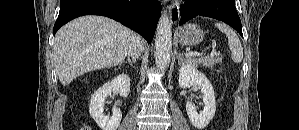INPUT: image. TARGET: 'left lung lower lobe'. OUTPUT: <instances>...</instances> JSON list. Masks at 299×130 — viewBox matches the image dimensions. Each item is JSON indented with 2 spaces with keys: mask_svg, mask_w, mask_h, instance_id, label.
Returning a JSON list of instances; mask_svg holds the SVG:
<instances>
[{
  "mask_svg": "<svg viewBox=\"0 0 299 130\" xmlns=\"http://www.w3.org/2000/svg\"><path fill=\"white\" fill-rule=\"evenodd\" d=\"M180 13L179 25L197 15L207 16L227 23L243 37L235 0H185L184 5L180 7Z\"/></svg>",
  "mask_w": 299,
  "mask_h": 130,
  "instance_id": "obj_1",
  "label": "left lung lower lobe"
}]
</instances>
